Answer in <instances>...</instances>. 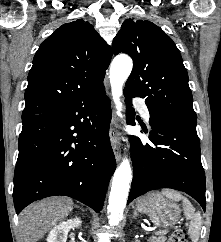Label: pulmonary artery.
<instances>
[{
  "label": "pulmonary artery",
  "instance_id": "e3ab8cb5",
  "mask_svg": "<svg viewBox=\"0 0 221 242\" xmlns=\"http://www.w3.org/2000/svg\"><path fill=\"white\" fill-rule=\"evenodd\" d=\"M135 104L138 107L142 117L146 120L149 121L150 119V113L148 110V107L146 106V104L142 101V100H135Z\"/></svg>",
  "mask_w": 221,
  "mask_h": 242
}]
</instances>
